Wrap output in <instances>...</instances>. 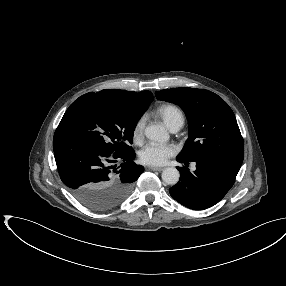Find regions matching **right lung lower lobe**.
Instances as JSON below:
<instances>
[{"label":"right lung lower lobe","mask_w":286,"mask_h":286,"mask_svg":"<svg viewBox=\"0 0 286 286\" xmlns=\"http://www.w3.org/2000/svg\"><path fill=\"white\" fill-rule=\"evenodd\" d=\"M53 150L62 182L78 201L96 210H107L124 201L133 182L144 172L133 162L134 151L107 154L62 122L54 134Z\"/></svg>","instance_id":"obj_1"}]
</instances>
